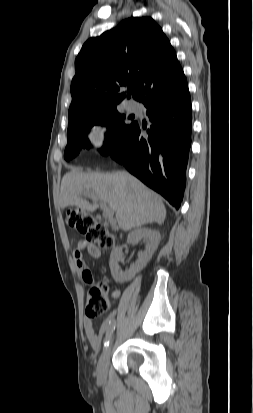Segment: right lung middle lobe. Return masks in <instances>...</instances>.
I'll list each match as a JSON object with an SVG mask.
<instances>
[{
    "instance_id": "obj_1",
    "label": "right lung middle lobe",
    "mask_w": 253,
    "mask_h": 413,
    "mask_svg": "<svg viewBox=\"0 0 253 413\" xmlns=\"http://www.w3.org/2000/svg\"><path fill=\"white\" fill-rule=\"evenodd\" d=\"M128 119L132 118H127L125 115L120 114L115 105L93 111L69 121L64 158L68 161L77 156L81 148L91 147L87 133L93 125L97 124L106 126L108 130L104 147L100 150L103 155H107L136 124L135 121L128 122Z\"/></svg>"
}]
</instances>
